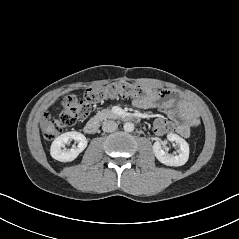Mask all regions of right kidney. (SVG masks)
I'll return each mask as SVG.
<instances>
[{
	"mask_svg": "<svg viewBox=\"0 0 239 239\" xmlns=\"http://www.w3.org/2000/svg\"><path fill=\"white\" fill-rule=\"evenodd\" d=\"M75 140L78 145L72 149H66L65 145L70 141ZM87 146L86 137L76 131L66 132L58 136L52 143L50 154L52 158L60 162H70L77 158Z\"/></svg>",
	"mask_w": 239,
	"mask_h": 239,
	"instance_id": "obj_1",
	"label": "right kidney"
}]
</instances>
